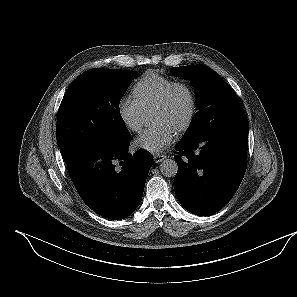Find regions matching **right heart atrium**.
<instances>
[{
	"mask_svg": "<svg viewBox=\"0 0 297 297\" xmlns=\"http://www.w3.org/2000/svg\"><path fill=\"white\" fill-rule=\"evenodd\" d=\"M117 115L123 126L131 132L137 133L143 125L144 112L132 98L122 96L116 105Z\"/></svg>",
	"mask_w": 297,
	"mask_h": 297,
	"instance_id": "right-heart-atrium-1",
	"label": "right heart atrium"
}]
</instances>
